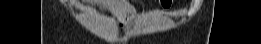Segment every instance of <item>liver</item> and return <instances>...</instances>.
<instances>
[{"instance_id":"liver-1","label":"liver","mask_w":261,"mask_h":44,"mask_svg":"<svg viewBox=\"0 0 261 44\" xmlns=\"http://www.w3.org/2000/svg\"><path fill=\"white\" fill-rule=\"evenodd\" d=\"M91 2L107 7L109 10L122 17H125L128 12L135 13L134 8L127 0H91Z\"/></svg>"}]
</instances>
